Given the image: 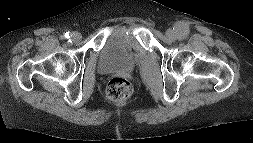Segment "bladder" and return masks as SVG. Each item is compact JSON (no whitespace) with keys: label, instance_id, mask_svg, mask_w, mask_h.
Instances as JSON below:
<instances>
[{"label":"bladder","instance_id":"31cf9c89","mask_svg":"<svg viewBox=\"0 0 253 143\" xmlns=\"http://www.w3.org/2000/svg\"><path fill=\"white\" fill-rule=\"evenodd\" d=\"M136 63V52L129 46L128 40L121 34L109 37L100 51L98 68L109 73L114 71H127Z\"/></svg>","mask_w":253,"mask_h":143}]
</instances>
